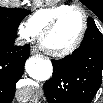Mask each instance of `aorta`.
I'll return each mask as SVG.
<instances>
[{"mask_svg":"<svg viewBox=\"0 0 103 103\" xmlns=\"http://www.w3.org/2000/svg\"><path fill=\"white\" fill-rule=\"evenodd\" d=\"M25 69L31 78L38 81L48 80L53 71L51 61L40 57L29 58L26 62Z\"/></svg>","mask_w":103,"mask_h":103,"instance_id":"762f6f07","label":"aorta"}]
</instances>
